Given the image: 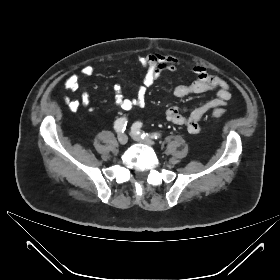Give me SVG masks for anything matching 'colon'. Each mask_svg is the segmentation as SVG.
Masks as SVG:
<instances>
[{
  "instance_id": "colon-1",
  "label": "colon",
  "mask_w": 280,
  "mask_h": 280,
  "mask_svg": "<svg viewBox=\"0 0 280 280\" xmlns=\"http://www.w3.org/2000/svg\"><path fill=\"white\" fill-rule=\"evenodd\" d=\"M212 114L214 117H222L224 115V112L221 109H216L212 112Z\"/></svg>"
}]
</instances>
